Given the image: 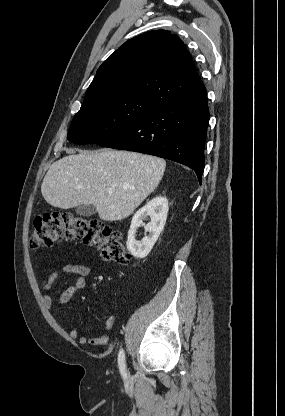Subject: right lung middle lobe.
Returning a JSON list of instances; mask_svg holds the SVG:
<instances>
[{"mask_svg":"<svg viewBox=\"0 0 285 416\" xmlns=\"http://www.w3.org/2000/svg\"><path fill=\"white\" fill-rule=\"evenodd\" d=\"M158 107L150 100L130 96L80 108L67 138L77 144L98 142L129 127Z\"/></svg>","mask_w":285,"mask_h":416,"instance_id":"obj_1","label":"right lung middle lobe"}]
</instances>
